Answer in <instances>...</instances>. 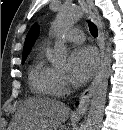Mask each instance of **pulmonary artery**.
Listing matches in <instances>:
<instances>
[{"instance_id": "obj_1", "label": "pulmonary artery", "mask_w": 123, "mask_h": 130, "mask_svg": "<svg viewBox=\"0 0 123 130\" xmlns=\"http://www.w3.org/2000/svg\"><path fill=\"white\" fill-rule=\"evenodd\" d=\"M64 38L68 42L82 43L84 41V34L81 30L73 28L66 32Z\"/></svg>"}]
</instances>
